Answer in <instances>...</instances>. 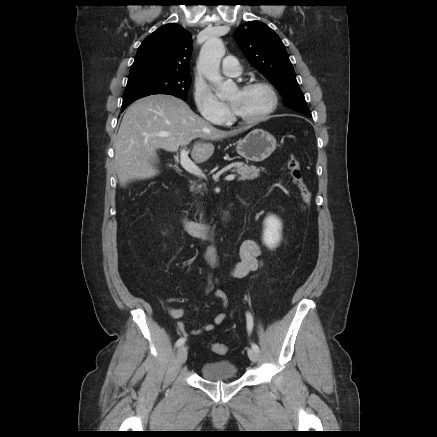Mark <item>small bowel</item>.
Masks as SVG:
<instances>
[{"mask_svg": "<svg viewBox=\"0 0 437 437\" xmlns=\"http://www.w3.org/2000/svg\"><path fill=\"white\" fill-rule=\"evenodd\" d=\"M261 253H262L261 247L256 241L254 240L244 241L240 247V260L234 265L232 274L237 278H243L248 273L258 270L262 265L260 259ZM210 261L212 263H215V256L213 253H211L210 255ZM207 291L208 293L212 292V286L210 281L208 282ZM214 297L222 302L224 308L228 307V299L223 291L221 290L215 291ZM169 314L174 319H181L185 316V310L182 308L170 307ZM226 317L227 315L225 312L218 313L214 317L211 323H207L199 329L192 330L191 334L198 335L201 334L202 332L212 331L217 326L222 324L226 319ZM177 327L183 336L188 335V330L185 323L178 322Z\"/></svg>", "mask_w": 437, "mask_h": 437, "instance_id": "c3829d8e", "label": "small bowel"}]
</instances>
